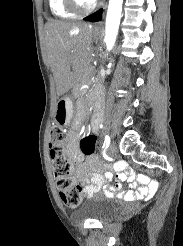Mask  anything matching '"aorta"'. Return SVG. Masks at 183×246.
I'll use <instances>...</instances> for the list:
<instances>
[{"instance_id":"obj_1","label":"aorta","mask_w":183,"mask_h":246,"mask_svg":"<svg viewBox=\"0 0 183 246\" xmlns=\"http://www.w3.org/2000/svg\"><path fill=\"white\" fill-rule=\"evenodd\" d=\"M122 5L123 0H109L104 38L108 51L113 48L118 35Z\"/></svg>"}]
</instances>
